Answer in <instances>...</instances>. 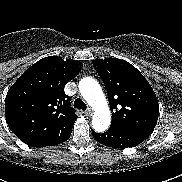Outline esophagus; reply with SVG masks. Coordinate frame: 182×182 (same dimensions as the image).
<instances>
[{"mask_svg": "<svg viewBox=\"0 0 182 182\" xmlns=\"http://www.w3.org/2000/svg\"><path fill=\"white\" fill-rule=\"evenodd\" d=\"M85 116L91 117V116H92V110H91V109H88V110L85 112Z\"/></svg>", "mask_w": 182, "mask_h": 182, "instance_id": "34e87169", "label": "esophagus"}]
</instances>
